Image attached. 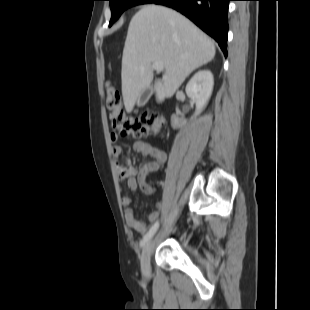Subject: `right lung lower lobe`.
<instances>
[{
	"mask_svg": "<svg viewBox=\"0 0 310 310\" xmlns=\"http://www.w3.org/2000/svg\"><path fill=\"white\" fill-rule=\"evenodd\" d=\"M231 0H153L171 7L214 38L227 56L228 5Z\"/></svg>",
	"mask_w": 310,
	"mask_h": 310,
	"instance_id": "98d812e1",
	"label": "right lung lower lobe"
}]
</instances>
